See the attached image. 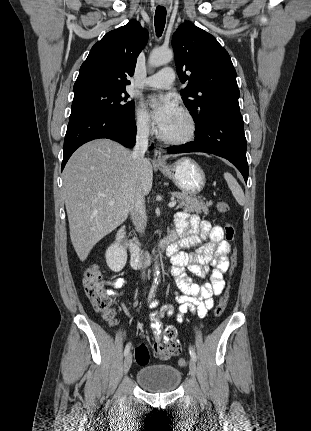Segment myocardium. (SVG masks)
I'll return each instance as SVG.
<instances>
[{"instance_id": "1", "label": "myocardium", "mask_w": 311, "mask_h": 431, "mask_svg": "<svg viewBox=\"0 0 311 431\" xmlns=\"http://www.w3.org/2000/svg\"><path fill=\"white\" fill-rule=\"evenodd\" d=\"M181 112L190 122V132L185 136L167 138L160 131L159 132V138L161 141H163L167 144H170V145H184V144H187V143L193 141L196 138V136L199 132V123H198L196 116L194 115V113L191 110H189L187 108L181 109Z\"/></svg>"}]
</instances>
